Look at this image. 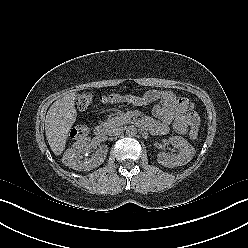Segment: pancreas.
I'll use <instances>...</instances> for the list:
<instances>
[{"instance_id":"1","label":"pancreas","mask_w":248,"mask_h":248,"mask_svg":"<svg viewBox=\"0 0 248 248\" xmlns=\"http://www.w3.org/2000/svg\"><path fill=\"white\" fill-rule=\"evenodd\" d=\"M130 122V118L126 116L125 114H121L120 116L113 117L111 119H108L104 125L108 128H113L116 126H121L123 124H127Z\"/></svg>"}]
</instances>
